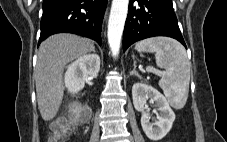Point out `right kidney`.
I'll list each match as a JSON object with an SVG mask.
<instances>
[{
    "mask_svg": "<svg viewBox=\"0 0 227 142\" xmlns=\"http://www.w3.org/2000/svg\"><path fill=\"white\" fill-rule=\"evenodd\" d=\"M100 70V57L97 54L81 56L71 63L65 73V86L71 94L84 88L88 76L97 78Z\"/></svg>",
    "mask_w": 227,
    "mask_h": 142,
    "instance_id": "right-kidney-1",
    "label": "right kidney"
}]
</instances>
